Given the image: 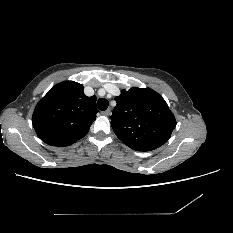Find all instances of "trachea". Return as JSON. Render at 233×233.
Segmentation results:
<instances>
[{
    "instance_id": "obj_1",
    "label": "trachea",
    "mask_w": 233,
    "mask_h": 233,
    "mask_svg": "<svg viewBox=\"0 0 233 233\" xmlns=\"http://www.w3.org/2000/svg\"><path fill=\"white\" fill-rule=\"evenodd\" d=\"M109 106V102L107 99L105 98H100L98 101H97V107L99 110L101 111H105Z\"/></svg>"
}]
</instances>
